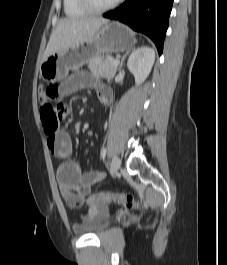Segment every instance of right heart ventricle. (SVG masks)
<instances>
[{"label":"right heart ventricle","instance_id":"1","mask_svg":"<svg viewBox=\"0 0 227 265\" xmlns=\"http://www.w3.org/2000/svg\"><path fill=\"white\" fill-rule=\"evenodd\" d=\"M63 8L68 17H80L89 13L78 0H63Z\"/></svg>","mask_w":227,"mask_h":265}]
</instances>
